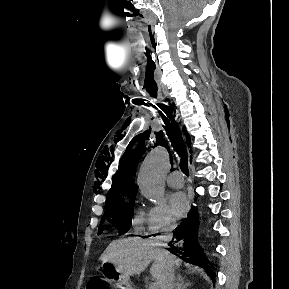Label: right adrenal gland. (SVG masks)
Segmentation results:
<instances>
[{
  "mask_svg": "<svg viewBox=\"0 0 289 289\" xmlns=\"http://www.w3.org/2000/svg\"><path fill=\"white\" fill-rule=\"evenodd\" d=\"M191 283L190 282H186L181 276H177V278H175V283H174V287L175 289H187L188 286H190Z\"/></svg>",
  "mask_w": 289,
  "mask_h": 289,
  "instance_id": "right-adrenal-gland-1",
  "label": "right adrenal gland"
}]
</instances>
